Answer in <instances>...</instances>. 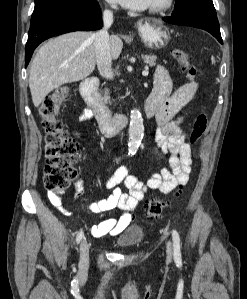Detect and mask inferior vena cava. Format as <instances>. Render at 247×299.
Segmentation results:
<instances>
[{
  "label": "inferior vena cava",
  "instance_id": "1",
  "mask_svg": "<svg viewBox=\"0 0 247 299\" xmlns=\"http://www.w3.org/2000/svg\"><path fill=\"white\" fill-rule=\"evenodd\" d=\"M113 23V13L105 10L103 13V28L95 34L96 64L100 75L107 79L113 78L112 58L110 53L108 29Z\"/></svg>",
  "mask_w": 247,
  "mask_h": 299
}]
</instances>
